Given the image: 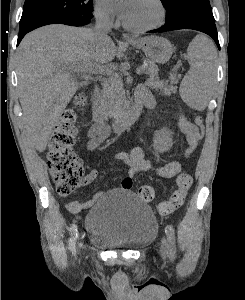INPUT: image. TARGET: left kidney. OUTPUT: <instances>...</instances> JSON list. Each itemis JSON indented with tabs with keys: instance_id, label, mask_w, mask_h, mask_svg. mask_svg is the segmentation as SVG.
<instances>
[{
	"instance_id": "5707ae66",
	"label": "left kidney",
	"mask_w": 245,
	"mask_h": 300,
	"mask_svg": "<svg viewBox=\"0 0 245 300\" xmlns=\"http://www.w3.org/2000/svg\"><path fill=\"white\" fill-rule=\"evenodd\" d=\"M156 144L160 151H166L172 145L170 134L168 131H161L156 135Z\"/></svg>"
}]
</instances>
